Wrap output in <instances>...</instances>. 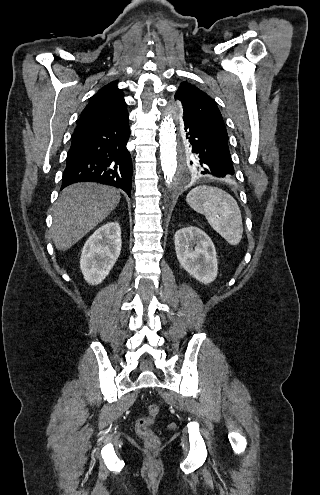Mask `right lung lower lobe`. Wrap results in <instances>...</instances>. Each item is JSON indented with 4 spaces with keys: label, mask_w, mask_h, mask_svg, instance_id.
<instances>
[{
    "label": "right lung lower lobe",
    "mask_w": 320,
    "mask_h": 495,
    "mask_svg": "<svg viewBox=\"0 0 320 495\" xmlns=\"http://www.w3.org/2000/svg\"><path fill=\"white\" fill-rule=\"evenodd\" d=\"M129 122L74 134L61 189L82 181L121 188L131 195L132 159L127 149Z\"/></svg>",
    "instance_id": "obj_1"
}]
</instances>
